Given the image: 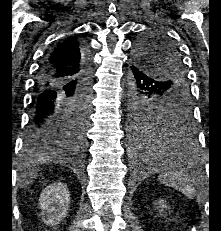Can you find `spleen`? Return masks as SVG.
<instances>
[{
    "label": "spleen",
    "instance_id": "3e777b00",
    "mask_svg": "<svg viewBox=\"0 0 221 231\" xmlns=\"http://www.w3.org/2000/svg\"><path fill=\"white\" fill-rule=\"evenodd\" d=\"M158 179L166 186L172 187L190 198L196 195V190L190 183L189 178L182 172L171 171L161 174Z\"/></svg>",
    "mask_w": 221,
    "mask_h": 231
}]
</instances>
